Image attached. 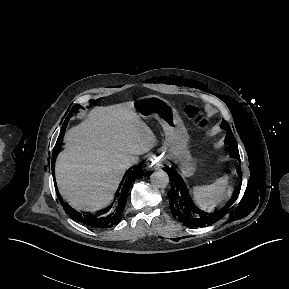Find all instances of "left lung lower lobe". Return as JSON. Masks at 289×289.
I'll return each instance as SVG.
<instances>
[{"mask_svg":"<svg viewBox=\"0 0 289 289\" xmlns=\"http://www.w3.org/2000/svg\"><path fill=\"white\" fill-rule=\"evenodd\" d=\"M166 172L172 183L171 190L168 193L171 212L184 225L203 227L215 223L225 215V212L211 214L198 209L191 200L187 187L180 175L170 168L166 169ZM238 173L241 177V166L238 168Z\"/></svg>","mask_w":289,"mask_h":289,"instance_id":"1","label":"left lung lower lobe"}]
</instances>
